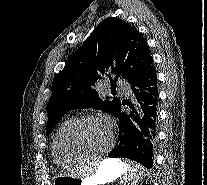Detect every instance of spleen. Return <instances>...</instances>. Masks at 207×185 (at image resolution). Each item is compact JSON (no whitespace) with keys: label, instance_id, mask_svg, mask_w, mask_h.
Here are the masks:
<instances>
[{"label":"spleen","instance_id":"spleen-1","mask_svg":"<svg viewBox=\"0 0 207 185\" xmlns=\"http://www.w3.org/2000/svg\"><path fill=\"white\" fill-rule=\"evenodd\" d=\"M121 163H124L125 171L127 174H122V183H138V177H148L146 167L139 166V162H132V158H121Z\"/></svg>","mask_w":207,"mask_h":185}]
</instances>
